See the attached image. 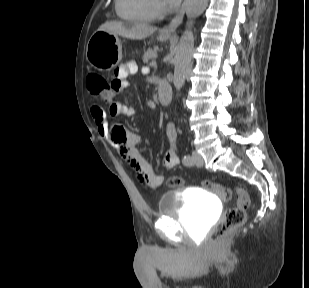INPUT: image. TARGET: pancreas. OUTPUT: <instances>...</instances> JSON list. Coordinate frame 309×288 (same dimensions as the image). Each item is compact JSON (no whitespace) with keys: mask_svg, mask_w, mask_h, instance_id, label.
<instances>
[{"mask_svg":"<svg viewBox=\"0 0 309 288\" xmlns=\"http://www.w3.org/2000/svg\"><path fill=\"white\" fill-rule=\"evenodd\" d=\"M158 47H154L153 49H148L143 57H142V61L144 63H148L150 60L155 61L156 57H157V51H158Z\"/></svg>","mask_w":309,"mask_h":288,"instance_id":"obj_1","label":"pancreas"}]
</instances>
